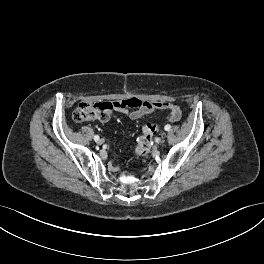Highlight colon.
Wrapping results in <instances>:
<instances>
[{
  "instance_id": "5ec220e1",
  "label": "colon",
  "mask_w": 264,
  "mask_h": 264,
  "mask_svg": "<svg viewBox=\"0 0 264 264\" xmlns=\"http://www.w3.org/2000/svg\"><path fill=\"white\" fill-rule=\"evenodd\" d=\"M128 100L115 102H85L80 103L73 113L75 122H84L88 120L106 121L110 118L115 109L129 106ZM158 131L157 125L148 122L143 126L142 135L138 138L136 152L139 155L147 154L153 144V138Z\"/></svg>"
}]
</instances>
